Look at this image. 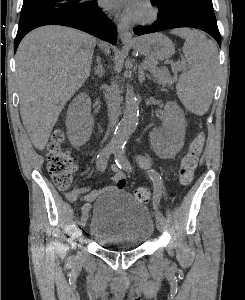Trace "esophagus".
I'll return each mask as SVG.
<instances>
[{"mask_svg":"<svg viewBox=\"0 0 245 300\" xmlns=\"http://www.w3.org/2000/svg\"><path fill=\"white\" fill-rule=\"evenodd\" d=\"M117 30L118 35L123 42H129L133 40L130 27L127 24L117 23Z\"/></svg>","mask_w":245,"mask_h":300,"instance_id":"obj_1","label":"esophagus"}]
</instances>
